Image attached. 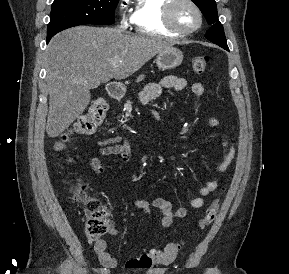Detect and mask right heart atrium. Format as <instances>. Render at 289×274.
<instances>
[{"instance_id": "right-heart-atrium-1", "label": "right heart atrium", "mask_w": 289, "mask_h": 274, "mask_svg": "<svg viewBox=\"0 0 289 274\" xmlns=\"http://www.w3.org/2000/svg\"><path fill=\"white\" fill-rule=\"evenodd\" d=\"M123 7H124V5L121 3L120 4V8L123 9ZM128 23H129L128 19L123 16L122 19H121V25L123 27H126V26H128Z\"/></svg>"}]
</instances>
